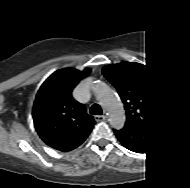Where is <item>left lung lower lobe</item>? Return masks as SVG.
Returning <instances> with one entry per match:
<instances>
[{"mask_svg": "<svg viewBox=\"0 0 190 188\" xmlns=\"http://www.w3.org/2000/svg\"><path fill=\"white\" fill-rule=\"evenodd\" d=\"M164 131L136 128L129 124L121 130H114L120 142L129 150L144 152L150 150L160 140Z\"/></svg>", "mask_w": 190, "mask_h": 188, "instance_id": "0a47b994", "label": "left lung lower lobe"}]
</instances>
